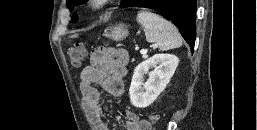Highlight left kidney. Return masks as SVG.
<instances>
[{"label": "left kidney", "mask_w": 257, "mask_h": 130, "mask_svg": "<svg viewBox=\"0 0 257 130\" xmlns=\"http://www.w3.org/2000/svg\"><path fill=\"white\" fill-rule=\"evenodd\" d=\"M179 59L172 54H156L140 63L134 70L129 88L130 101L137 108H145L152 104L166 88L172 78ZM150 68H154L149 72ZM149 78L144 82V75Z\"/></svg>", "instance_id": "1"}]
</instances>
